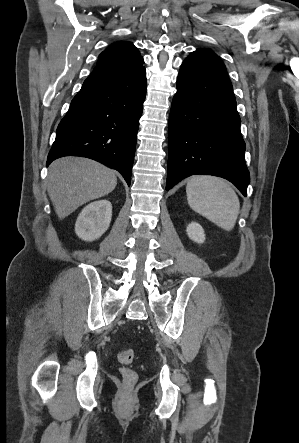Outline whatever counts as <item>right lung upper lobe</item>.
<instances>
[{"mask_svg": "<svg viewBox=\"0 0 299 443\" xmlns=\"http://www.w3.org/2000/svg\"><path fill=\"white\" fill-rule=\"evenodd\" d=\"M144 60L138 49L130 42L112 44L100 55L90 76H110L137 73L144 70Z\"/></svg>", "mask_w": 299, "mask_h": 443, "instance_id": "right-lung-upper-lobe-1", "label": "right lung upper lobe"}]
</instances>
